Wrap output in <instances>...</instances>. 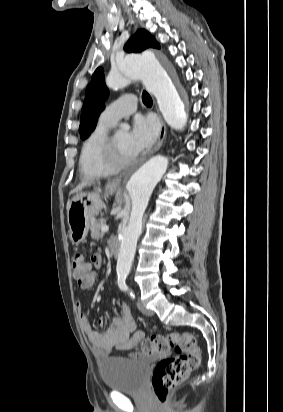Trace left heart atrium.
<instances>
[{"mask_svg":"<svg viewBox=\"0 0 283 412\" xmlns=\"http://www.w3.org/2000/svg\"><path fill=\"white\" fill-rule=\"evenodd\" d=\"M158 121L153 116H138L134 119L132 130L129 133L132 150L138 154L149 148L158 135Z\"/></svg>","mask_w":283,"mask_h":412,"instance_id":"39dd6f15","label":"left heart atrium"}]
</instances>
